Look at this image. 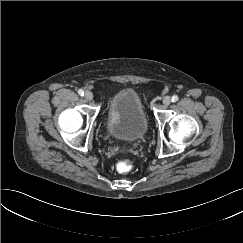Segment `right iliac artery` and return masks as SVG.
<instances>
[{
  "label": "right iliac artery",
  "mask_w": 243,
  "mask_h": 243,
  "mask_svg": "<svg viewBox=\"0 0 243 243\" xmlns=\"http://www.w3.org/2000/svg\"><path fill=\"white\" fill-rule=\"evenodd\" d=\"M78 94H79L80 96H83V95H84V91H83L82 89H80V90H78Z\"/></svg>",
  "instance_id": "right-iliac-artery-1"
}]
</instances>
